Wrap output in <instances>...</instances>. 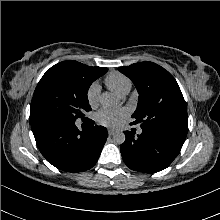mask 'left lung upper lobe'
<instances>
[{
    "instance_id": "obj_1",
    "label": "left lung upper lobe",
    "mask_w": 220,
    "mask_h": 220,
    "mask_svg": "<svg viewBox=\"0 0 220 220\" xmlns=\"http://www.w3.org/2000/svg\"><path fill=\"white\" fill-rule=\"evenodd\" d=\"M135 84L139 100L131 125L165 134L184 143L188 131L185 100L174 77L153 62L119 67Z\"/></svg>"
}]
</instances>
